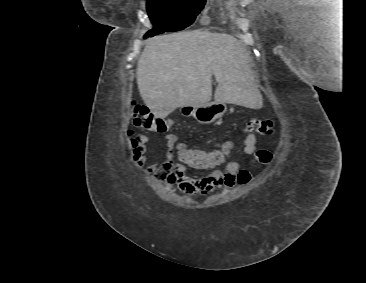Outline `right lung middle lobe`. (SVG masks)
<instances>
[{
    "mask_svg": "<svg viewBox=\"0 0 366 283\" xmlns=\"http://www.w3.org/2000/svg\"><path fill=\"white\" fill-rule=\"evenodd\" d=\"M206 0H148L147 11L154 24L144 38L190 26Z\"/></svg>",
    "mask_w": 366,
    "mask_h": 283,
    "instance_id": "right-lung-middle-lobe-1",
    "label": "right lung middle lobe"
}]
</instances>
